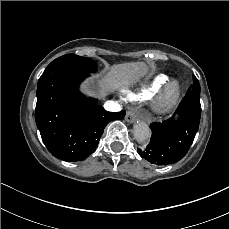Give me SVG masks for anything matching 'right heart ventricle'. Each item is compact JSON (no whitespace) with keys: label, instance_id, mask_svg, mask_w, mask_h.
Returning a JSON list of instances; mask_svg holds the SVG:
<instances>
[{"label":"right heart ventricle","instance_id":"e07e8e85","mask_svg":"<svg viewBox=\"0 0 229 229\" xmlns=\"http://www.w3.org/2000/svg\"><path fill=\"white\" fill-rule=\"evenodd\" d=\"M170 82V77L166 74H156L141 86L142 94H155L163 90Z\"/></svg>","mask_w":229,"mask_h":229}]
</instances>
